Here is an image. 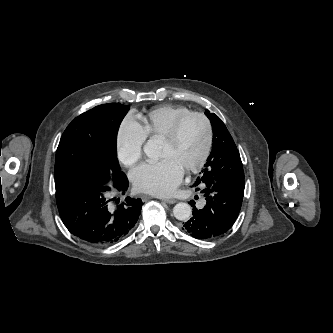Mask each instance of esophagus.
I'll use <instances>...</instances> for the list:
<instances>
[{
  "mask_svg": "<svg viewBox=\"0 0 333 333\" xmlns=\"http://www.w3.org/2000/svg\"><path fill=\"white\" fill-rule=\"evenodd\" d=\"M143 197H146V196H143ZM164 202L168 203V204H174L176 203V200L175 199H162Z\"/></svg>",
  "mask_w": 333,
  "mask_h": 333,
  "instance_id": "1",
  "label": "esophagus"
}]
</instances>
